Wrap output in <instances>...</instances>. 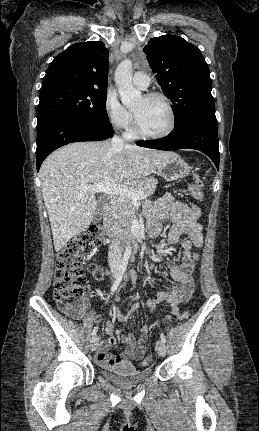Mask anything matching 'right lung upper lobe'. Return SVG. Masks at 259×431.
Wrapping results in <instances>:
<instances>
[{"label": "right lung upper lobe", "mask_w": 259, "mask_h": 431, "mask_svg": "<svg viewBox=\"0 0 259 431\" xmlns=\"http://www.w3.org/2000/svg\"><path fill=\"white\" fill-rule=\"evenodd\" d=\"M108 50L100 41L69 46L51 62L40 91L54 84L107 89Z\"/></svg>", "instance_id": "cb5924a9"}]
</instances>
